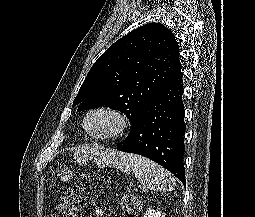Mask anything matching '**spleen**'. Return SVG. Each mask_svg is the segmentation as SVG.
<instances>
[{
  "label": "spleen",
  "mask_w": 255,
  "mask_h": 217,
  "mask_svg": "<svg viewBox=\"0 0 255 217\" xmlns=\"http://www.w3.org/2000/svg\"><path fill=\"white\" fill-rule=\"evenodd\" d=\"M113 165L122 171H133L137 180L153 191H173L174 176L155 162L134 154H119L113 158Z\"/></svg>",
  "instance_id": "spleen-1"
}]
</instances>
